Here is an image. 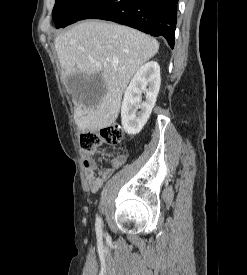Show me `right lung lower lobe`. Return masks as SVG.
Segmentation results:
<instances>
[{
  "instance_id": "right-lung-lower-lobe-1",
  "label": "right lung lower lobe",
  "mask_w": 247,
  "mask_h": 275,
  "mask_svg": "<svg viewBox=\"0 0 247 275\" xmlns=\"http://www.w3.org/2000/svg\"><path fill=\"white\" fill-rule=\"evenodd\" d=\"M178 0H99L80 17L103 19L164 36L174 48Z\"/></svg>"
}]
</instances>
